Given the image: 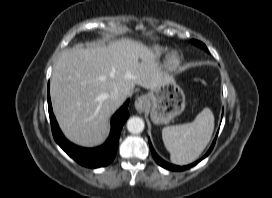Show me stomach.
Returning <instances> with one entry per match:
<instances>
[{
	"label": "stomach",
	"instance_id": "1",
	"mask_svg": "<svg viewBox=\"0 0 272 198\" xmlns=\"http://www.w3.org/2000/svg\"><path fill=\"white\" fill-rule=\"evenodd\" d=\"M153 123L167 124L180 115L185 107V94L173 77H167L146 95Z\"/></svg>",
	"mask_w": 272,
	"mask_h": 198
}]
</instances>
